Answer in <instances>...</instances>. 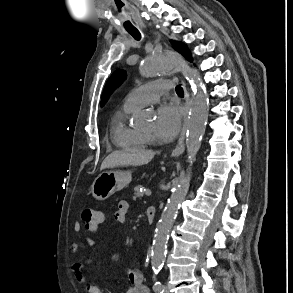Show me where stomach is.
Wrapping results in <instances>:
<instances>
[{"instance_id":"0dacf381","label":"stomach","mask_w":293,"mask_h":293,"mask_svg":"<svg viewBox=\"0 0 293 293\" xmlns=\"http://www.w3.org/2000/svg\"><path fill=\"white\" fill-rule=\"evenodd\" d=\"M131 179V173L128 171L103 172L93 182L91 194L98 201L106 200L114 193L127 187Z\"/></svg>"}]
</instances>
